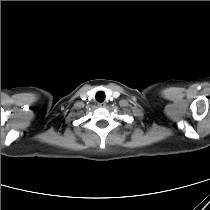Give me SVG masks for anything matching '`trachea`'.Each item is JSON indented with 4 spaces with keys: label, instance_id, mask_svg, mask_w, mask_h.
Listing matches in <instances>:
<instances>
[{
    "label": "trachea",
    "instance_id": "1",
    "mask_svg": "<svg viewBox=\"0 0 210 210\" xmlns=\"http://www.w3.org/2000/svg\"><path fill=\"white\" fill-rule=\"evenodd\" d=\"M96 100L98 102H103L105 100V93L103 91H99L96 93Z\"/></svg>",
    "mask_w": 210,
    "mask_h": 210
}]
</instances>
